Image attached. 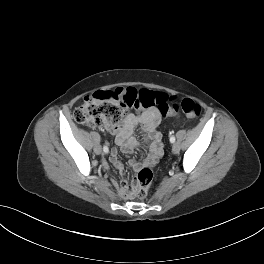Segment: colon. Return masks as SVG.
I'll return each instance as SVG.
<instances>
[{
    "instance_id": "obj_1",
    "label": "colon",
    "mask_w": 264,
    "mask_h": 264,
    "mask_svg": "<svg viewBox=\"0 0 264 264\" xmlns=\"http://www.w3.org/2000/svg\"><path fill=\"white\" fill-rule=\"evenodd\" d=\"M169 96L162 91L137 90L132 87L118 88L113 91H98L84 99L74 111L75 120L91 128L116 127L130 109L158 110L161 116L182 111L189 119H196L201 112L200 105L190 98L169 105ZM153 180L150 168L144 167L133 179L130 194L144 199Z\"/></svg>"
}]
</instances>
